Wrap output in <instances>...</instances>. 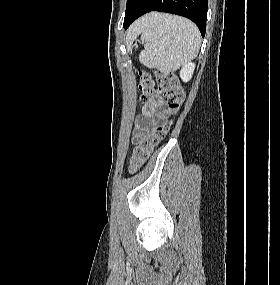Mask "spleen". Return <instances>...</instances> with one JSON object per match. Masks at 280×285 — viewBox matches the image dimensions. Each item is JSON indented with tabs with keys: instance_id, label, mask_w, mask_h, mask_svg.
Here are the masks:
<instances>
[{
	"instance_id": "3e777b00",
	"label": "spleen",
	"mask_w": 280,
	"mask_h": 285,
	"mask_svg": "<svg viewBox=\"0 0 280 285\" xmlns=\"http://www.w3.org/2000/svg\"><path fill=\"white\" fill-rule=\"evenodd\" d=\"M140 32L145 45L139 54V61L148 68H156L164 73L173 72L199 52L200 32L186 18L154 13Z\"/></svg>"
}]
</instances>
